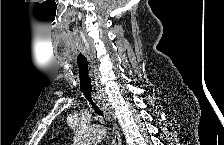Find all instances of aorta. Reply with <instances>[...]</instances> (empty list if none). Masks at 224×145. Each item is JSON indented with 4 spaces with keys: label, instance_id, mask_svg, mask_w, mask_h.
<instances>
[{
    "label": "aorta",
    "instance_id": "obj_1",
    "mask_svg": "<svg viewBox=\"0 0 224 145\" xmlns=\"http://www.w3.org/2000/svg\"><path fill=\"white\" fill-rule=\"evenodd\" d=\"M106 136L105 129L100 125L81 126L76 129L75 145H92L101 142Z\"/></svg>",
    "mask_w": 224,
    "mask_h": 145
}]
</instances>
